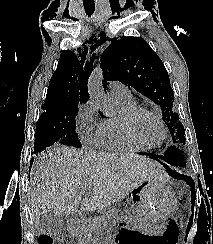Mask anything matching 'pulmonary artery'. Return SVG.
Returning a JSON list of instances; mask_svg holds the SVG:
<instances>
[{"mask_svg": "<svg viewBox=\"0 0 213 244\" xmlns=\"http://www.w3.org/2000/svg\"><path fill=\"white\" fill-rule=\"evenodd\" d=\"M108 92L115 99L130 100L133 98L128 87L119 81L109 82Z\"/></svg>", "mask_w": 213, "mask_h": 244, "instance_id": "pulmonary-artery-1", "label": "pulmonary artery"}]
</instances>
